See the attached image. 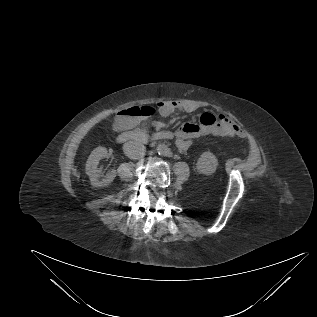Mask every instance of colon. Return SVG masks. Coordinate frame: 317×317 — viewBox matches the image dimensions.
Returning <instances> with one entry per match:
<instances>
[{"instance_id": "1", "label": "colon", "mask_w": 317, "mask_h": 317, "mask_svg": "<svg viewBox=\"0 0 317 317\" xmlns=\"http://www.w3.org/2000/svg\"><path fill=\"white\" fill-rule=\"evenodd\" d=\"M156 111L157 110L154 106L143 105V106L130 107L126 109L122 114L127 115L128 117L137 119V118H147V117L153 116L156 113ZM203 120L209 123H212V122H215L216 118L204 116Z\"/></svg>"}]
</instances>
